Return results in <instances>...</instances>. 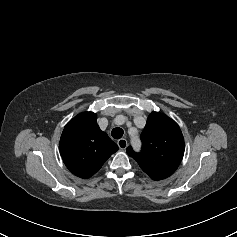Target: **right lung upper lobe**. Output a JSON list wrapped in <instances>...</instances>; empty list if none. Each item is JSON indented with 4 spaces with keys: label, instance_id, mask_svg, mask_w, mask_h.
I'll return each mask as SVG.
<instances>
[{
    "label": "right lung upper lobe",
    "instance_id": "obj_1",
    "mask_svg": "<svg viewBox=\"0 0 237 237\" xmlns=\"http://www.w3.org/2000/svg\"><path fill=\"white\" fill-rule=\"evenodd\" d=\"M93 112H83L71 119L60 138V154L66 167L83 179L91 177L118 150L101 131Z\"/></svg>",
    "mask_w": 237,
    "mask_h": 237
}]
</instances>
